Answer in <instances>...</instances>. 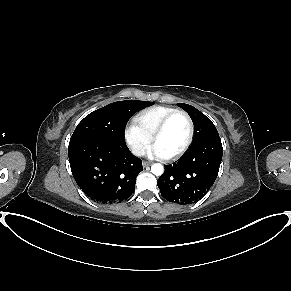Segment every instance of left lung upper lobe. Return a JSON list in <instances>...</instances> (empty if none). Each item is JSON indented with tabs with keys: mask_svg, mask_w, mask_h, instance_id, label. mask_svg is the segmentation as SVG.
I'll return each mask as SVG.
<instances>
[{
	"mask_svg": "<svg viewBox=\"0 0 291 291\" xmlns=\"http://www.w3.org/2000/svg\"><path fill=\"white\" fill-rule=\"evenodd\" d=\"M177 105L189 114L194 123V139L192 145L203 142L209 138L219 136L218 131L212 121L198 109L184 103H178Z\"/></svg>",
	"mask_w": 291,
	"mask_h": 291,
	"instance_id": "5c2ea615",
	"label": "left lung upper lobe"
}]
</instances>
